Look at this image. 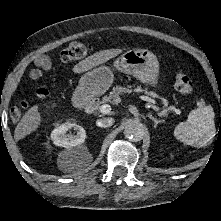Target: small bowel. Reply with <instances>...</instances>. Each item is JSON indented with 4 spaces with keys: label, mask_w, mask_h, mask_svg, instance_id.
<instances>
[{
    "label": "small bowel",
    "mask_w": 221,
    "mask_h": 221,
    "mask_svg": "<svg viewBox=\"0 0 221 221\" xmlns=\"http://www.w3.org/2000/svg\"><path fill=\"white\" fill-rule=\"evenodd\" d=\"M35 64L37 68L33 70L32 76L38 78L42 76L45 71L49 70L51 61L47 57L41 56L36 59Z\"/></svg>",
    "instance_id": "obj_1"
}]
</instances>
